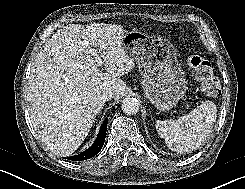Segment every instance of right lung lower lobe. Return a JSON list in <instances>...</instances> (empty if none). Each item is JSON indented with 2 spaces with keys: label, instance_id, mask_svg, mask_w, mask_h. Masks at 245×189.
Here are the masks:
<instances>
[{
  "label": "right lung lower lobe",
  "instance_id": "right-lung-lower-lobe-1",
  "mask_svg": "<svg viewBox=\"0 0 245 189\" xmlns=\"http://www.w3.org/2000/svg\"><path fill=\"white\" fill-rule=\"evenodd\" d=\"M107 123H108V119L106 118L100 127L97 139L95 140V142L93 143V145L89 149L85 150L84 152L80 153L79 155L67 157V159L72 160V161H80V160H86V159L92 158L96 154H98L104 145Z\"/></svg>",
  "mask_w": 245,
  "mask_h": 189
}]
</instances>
